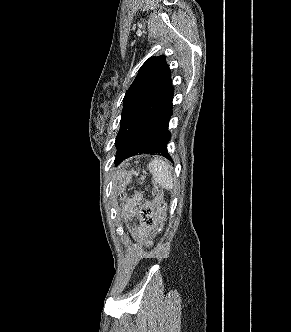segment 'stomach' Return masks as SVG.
<instances>
[{"label": "stomach", "instance_id": "1", "mask_svg": "<svg viewBox=\"0 0 291 332\" xmlns=\"http://www.w3.org/2000/svg\"><path fill=\"white\" fill-rule=\"evenodd\" d=\"M130 178H131V173L129 172L120 173L117 177L122 186H125L130 181Z\"/></svg>", "mask_w": 291, "mask_h": 332}]
</instances>
